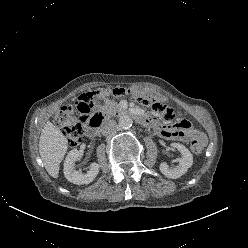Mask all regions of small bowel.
Segmentation results:
<instances>
[{"instance_id":"1","label":"small bowel","mask_w":248,"mask_h":248,"mask_svg":"<svg viewBox=\"0 0 248 248\" xmlns=\"http://www.w3.org/2000/svg\"><path fill=\"white\" fill-rule=\"evenodd\" d=\"M153 128L157 130L159 135L166 140L187 142L195 137H202L205 139L203 133L194 130L185 119L179 120L174 125H162L153 119Z\"/></svg>"}]
</instances>
